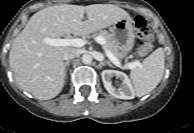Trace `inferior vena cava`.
Instances as JSON below:
<instances>
[{
    "label": "inferior vena cava",
    "instance_id": "602c4592",
    "mask_svg": "<svg viewBox=\"0 0 194 133\" xmlns=\"http://www.w3.org/2000/svg\"><path fill=\"white\" fill-rule=\"evenodd\" d=\"M79 54V51L75 48H67L66 51L64 52L63 59L64 60H70L75 57H77Z\"/></svg>",
    "mask_w": 194,
    "mask_h": 133
}]
</instances>
